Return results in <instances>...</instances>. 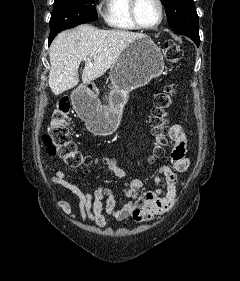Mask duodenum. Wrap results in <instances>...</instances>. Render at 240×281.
<instances>
[{"label":"duodenum","mask_w":240,"mask_h":281,"mask_svg":"<svg viewBox=\"0 0 240 281\" xmlns=\"http://www.w3.org/2000/svg\"><path fill=\"white\" fill-rule=\"evenodd\" d=\"M93 91L89 90L87 93H86V97H88V95L92 94Z\"/></svg>","instance_id":"obj_1"}]
</instances>
